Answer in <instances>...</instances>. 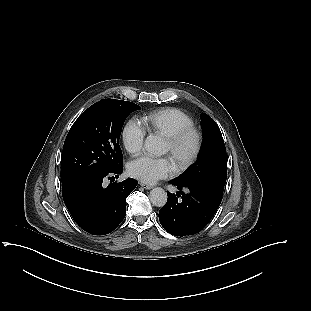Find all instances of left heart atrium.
Masks as SVG:
<instances>
[{
	"label": "left heart atrium",
	"mask_w": 311,
	"mask_h": 311,
	"mask_svg": "<svg viewBox=\"0 0 311 311\" xmlns=\"http://www.w3.org/2000/svg\"><path fill=\"white\" fill-rule=\"evenodd\" d=\"M172 164L166 157L155 158L143 155L129 164L131 176L145 183H154L172 173Z\"/></svg>",
	"instance_id": "obj_1"
}]
</instances>
